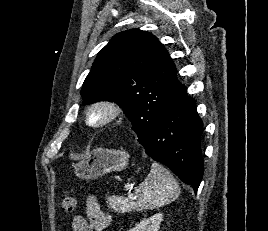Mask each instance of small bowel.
Segmentation results:
<instances>
[{"mask_svg":"<svg viewBox=\"0 0 268 231\" xmlns=\"http://www.w3.org/2000/svg\"><path fill=\"white\" fill-rule=\"evenodd\" d=\"M111 223V215L102 208L98 198L86 197V215L76 216L72 221L73 231H104Z\"/></svg>","mask_w":268,"mask_h":231,"instance_id":"1","label":"small bowel"}]
</instances>
